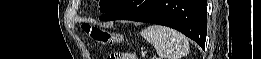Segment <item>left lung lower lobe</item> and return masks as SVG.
Here are the masks:
<instances>
[{"mask_svg": "<svg viewBox=\"0 0 261 59\" xmlns=\"http://www.w3.org/2000/svg\"><path fill=\"white\" fill-rule=\"evenodd\" d=\"M207 0H122L100 20H132L174 28L205 47Z\"/></svg>", "mask_w": 261, "mask_h": 59, "instance_id": "1", "label": "left lung lower lobe"}]
</instances>
